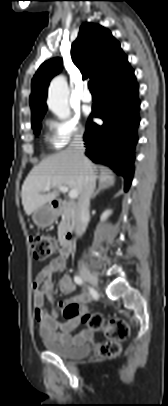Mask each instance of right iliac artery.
Masks as SVG:
<instances>
[{"label": "right iliac artery", "instance_id": "right-iliac-artery-1", "mask_svg": "<svg viewBox=\"0 0 168 406\" xmlns=\"http://www.w3.org/2000/svg\"><path fill=\"white\" fill-rule=\"evenodd\" d=\"M74 281H75V283L78 284V285H84V281H83L82 278L79 277V276H74ZM88 289H89V291H90L91 294H94V293H93V290H92L91 288H88Z\"/></svg>", "mask_w": 168, "mask_h": 406}]
</instances>
